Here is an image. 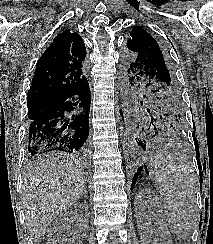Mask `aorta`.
<instances>
[{
	"label": "aorta",
	"instance_id": "obj_1",
	"mask_svg": "<svg viewBox=\"0 0 213 244\" xmlns=\"http://www.w3.org/2000/svg\"><path fill=\"white\" fill-rule=\"evenodd\" d=\"M120 130L123 131V126L122 125H120Z\"/></svg>",
	"mask_w": 213,
	"mask_h": 244
}]
</instances>
